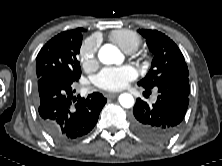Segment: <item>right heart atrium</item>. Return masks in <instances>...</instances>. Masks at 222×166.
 <instances>
[{
    "label": "right heart atrium",
    "mask_w": 222,
    "mask_h": 166,
    "mask_svg": "<svg viewBox=\"0 0 222 166\" xmlns=\"http://www.w3.org/2000/svg\"><path fill=\"white\" fill-rule=\"evenodd\" d=\"M97 42L95 39H88L83 42L79 51V60L82 66L89 69L96 65Z\"/></svg>",
    "instance_id": "obj_1"
}]
</instances>
